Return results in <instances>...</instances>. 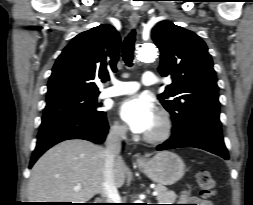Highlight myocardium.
Returning <instances> with one entry per match:
<instances>
[{
	"mask_svg": "<svg viewBox=\"0 0 253 205\" xmlns=\"http://www.w3.org/2000/svg\"><path fill=\"white\" fill-rule=\"evenodd\" d=\"M157 119L159 123L158 129L144 136V140L148 143L156 144L164 142L172 134L173 123L170 114L165 110H160Z\"/></svg>",
	"mask_w": 253,
	"mask_h": 205,
	"instance_id": "myocardium-1",
	"label": "myocardium"
}]
</instances>
